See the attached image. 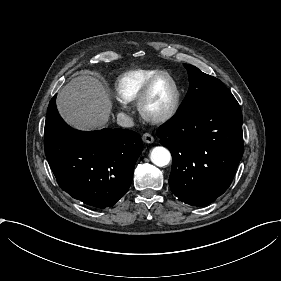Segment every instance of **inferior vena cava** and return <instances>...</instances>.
<instances>
[{"label": "inferior vena cava", "mask_w": 281, "mask_h": 281, "mask_svg": "<svg viewBox=\"0 0 281 281\" xmlns=\"http://www.w3.org/2000/svg\"><path fill=\"white\" fill-rule=\"evenodd\" d=\"M116 123L119 126L125 127V128L134 126L133 118L131 116L126 115L125 113H119L117 115Z\"/></svg>", "instance_id": "602c4592"}]
</instances>
